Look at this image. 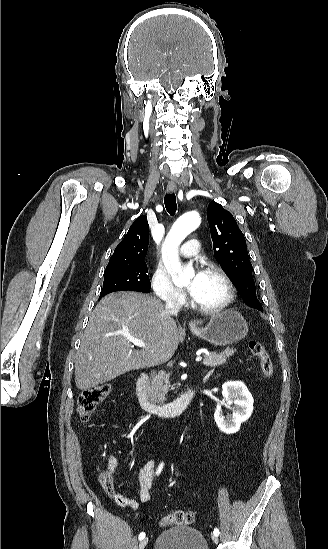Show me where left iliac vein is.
Listing matches in <instances>:
<instances>
[{
    "label": "left iliac vein",
    "instance_id": "left-iliac-vein-1",
    "mask_svg": "<svg viewBox=\"0 0 328 549\" xmlns=\"http://www.w3.org/2000/svg\"><path fill=\"white\" fill-rule=\"evenodd\" d=\"M211 538L215 543H218L219 539L216 535L213 534Z\"/></svg>",
    "mask_w": 328,
    "mask_h": 549
}]
</instances>
